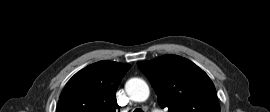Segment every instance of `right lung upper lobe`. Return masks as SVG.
Listing matches in <instances>:
<instances>
[{"mask_svg": "<svg viewBox=\"0 0 270 112\" xmlns=\"http://www.w3.org/2000/svg\"><path fill=\"white\" fill-rule=\"evenodd\" d=\"M129 68L104 60L80 70L63 89L56 112H116V90Z\"/></svg>", "mask_w": 270, "mask_h": 112, "instance_id": "cb5924a9", "label": "right lung upper lobe"}]
</instances>
